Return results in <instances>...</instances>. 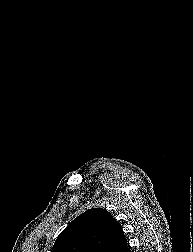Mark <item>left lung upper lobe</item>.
<instances>
[{
	"label": "left lung upper lobe",
	"mask_w": 193,
	"mask_h": 252,
	"mask_svg": "<svg viewBox=\"0 0 193 252\" xmlns=\"http://www.w3.org/2000/svg\"><path fill=\"white\" fill-rule=\"evenodd\" d=\"M126 248L122 227L111 213L92 208L59 234L51 252H124Z\"/></svg>",
	"instance_id": "1"
}]
</instances>
